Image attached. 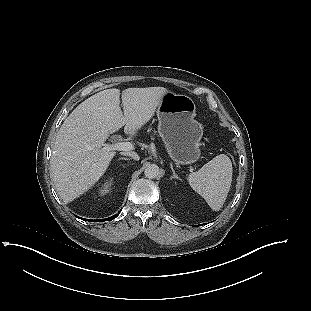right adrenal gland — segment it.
I'll use <instances>...</instances> for the list:
<instances>
[{
  "label": "right adrenal gland",
  "instance_id": "2a0ac1e0",
  "mask_svg": "<svg viewBox=\"0 0 311 311\" xmlns=\"http://www.w3.org/2000/svg\"><path fill=\"white\" fill-rule=\"evenodd\" d=\"M119 160H129V159L125 158V157H122V158H119Z\"/></svg>",
  "mask_w": 311,
  "mask_h": 311
}]
</instances>
